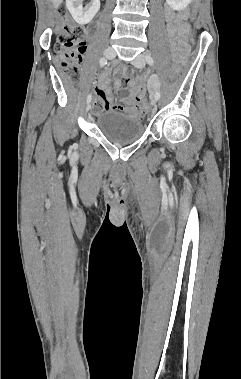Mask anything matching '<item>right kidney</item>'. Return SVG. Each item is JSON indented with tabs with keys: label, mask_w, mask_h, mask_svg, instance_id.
Instances as JSON below:
<instances>
[{
	"label": "right kidney",
	"mask_w": 241,
	"mask_h": 379,
	"mask_svg": "<svg viewBox=\"0 0 241 379\" xmlns=\"http://www.w3.org/2000/svg\"><path fill=\"white\" fill-rule=\"evenodd\" d=\"M83 0H66V7L73 19L79 25H86L92 21L100 9V0H92L89 7L83 8Z\"/></svg>",
	"instance_id": "ca27d5eb"
}]
</instances>
